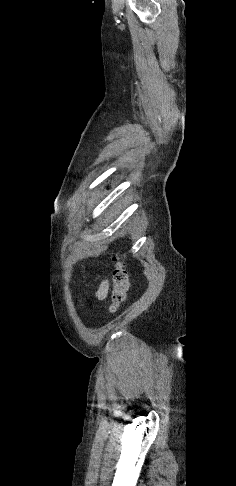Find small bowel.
I'll list each match as a JSON object with an SVG mask.
<instances>
[{
  "instance_id": "c3829d8e",
  "label": "small bowel",
  "mask_w": 236,
  "mask_h": 486,
  "mask_svg": "<svg viewBox=\"0 0 236 486\" xmlns=\"http://www.w3.org/2000/svg\"><path fill=\"white\" fill-rule=\"evenodd\" d=\"M108 287H109V285H108V282L106 280L103 281L99 285V287H98V289L96 291V296H97L98 299L103 300V299L106 298L107 293H108Z\"/></svg>"
}]
</instances>
